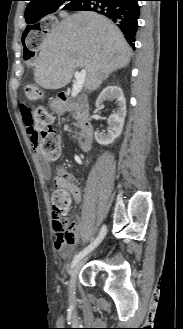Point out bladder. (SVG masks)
Returning <instances> with one entry per match:
<instances>
[{"label":"bladder","mask_w":183,"mask_h":329,"mask_svg":"<svg viewBox=\"0 0 183 329\" xmlns=\"http://www.w3.org/2000/svg\"><path fill=\"white\" fill-rule=\"evenodd\" d=\"M70 249H71V247H70L69 243L65 244V246H64V254L65 255H68Z\"/></svg>","instance_id":"1"}]
</instances>
